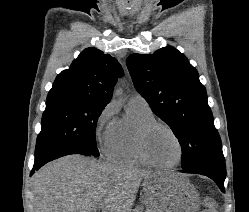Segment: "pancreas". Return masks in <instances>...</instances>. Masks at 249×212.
Listing matches in <instances>:
<instances>
[{"label":"pancreas","instance_id":"1","mask_svg":"<svg viewBox=\"0 0 249 212\" xmlns=\"http://www.w3.org/2000/svg\"><path fill=\"white\" fill-rule=\"evenodd\" d=\"M135 212H143V208H137V210H135Z\"/></svg>","mask_w":249,"mask_h":212}]
</instances>
